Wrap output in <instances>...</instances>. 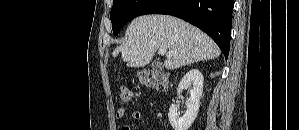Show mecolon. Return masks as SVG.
I'll return each instance as SVG.
<instances>
[{"instance_id":"1","label":"colon","mask_w":299,"mask_h":130,"mask_svg":"<svg viewBox=\"0 0 299 130\" xmlns=\"http://www.w3.org/2000/svg\"><path fill=\"white\" fill-rule=\"evenodd\" d=\"M138 82L148 88L164 89L170 83V74L164 71H153L148 69L139 70L136 73ZM119 100L126 104L131 99V91L126 86H121L118 90Z\"/></svg>"}]
</instances>
